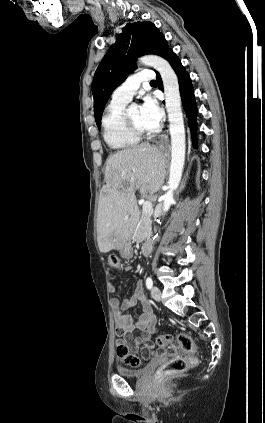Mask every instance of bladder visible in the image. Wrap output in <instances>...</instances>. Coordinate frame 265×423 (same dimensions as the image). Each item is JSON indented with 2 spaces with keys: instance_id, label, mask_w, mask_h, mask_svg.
<instances>
[{
  "instance_id": "bladder-1",
  "label": "bladder",
  "mask_w": 265,
  "mask_h": 423,
  "mask_svg": "<svg viewBox=\"0 0 265 423\" xmlns=\"http://www.w3.org/2000/svg\"><path fill=\"white\" fill-rule=\"evenodd\" d=\"M146 371V367L136 368V369H128L124 367H118L117 373L124 377H132V378H139L143 376Z\"/></svg>"
}]
</instances>
